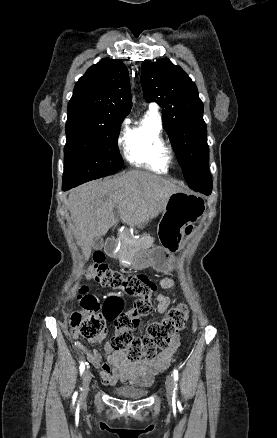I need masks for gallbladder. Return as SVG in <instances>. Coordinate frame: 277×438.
<instances>
[{
	"mask_svg": "<svg viewBox=\"0 0 277 438\" xmlns=\"http://www.w3.org/2000/svg\"><path fill=\"white\" fill-rule=\"evenodd\" d=\"M95 248L97 251H100L103 248V244H96Z\"/></svg>",
	"mask_w": 277,
	"mask_h": 438,
	"instance_id": "1",
	"label": "gallbladder"
}]
</instances>
